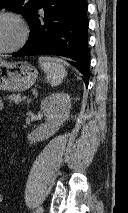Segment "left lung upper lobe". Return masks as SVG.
I'll return each mask as SVG.
<instances>
[{
	"label": "left lung upper lobe",
	"mask_w": 128,
	"mask_h": 213,
	"mask_svg": "<svg viewBox=\"0 0 128 213\" xmlns=\"http://www.w3.org/2000/svg\"><path fill=\"white\" fill-rule=\"evenodd\" d=\"M38 0H0V8H7L24 16L30 23Z\"/></svg>",
	"instance_id": "5c2ea615"
}]
</instances>
